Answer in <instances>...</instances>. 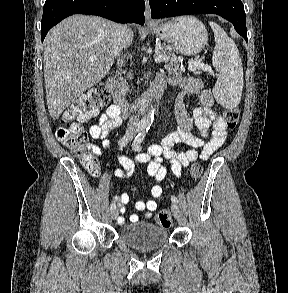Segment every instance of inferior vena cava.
I'll return each mask as SVG.
<instances>
[{
	"label": "inferior vena cava",
	"instance_id": "1",
	"mask_svg": "<svg viewBox=\"0 0 288 293\" xmlns=\"http://www.w3.org/2000/svg\"><path fill=\"white\" fill-rule=\"evenodd\" d=\"M127 31V26L126 25H117L116 30H115V57H118L117 59V65L122 67L124 62L123 59L120 58V53L123 50V43H124V37L125 33ZM128 79H132L131 74L127 75ZM138 121V117L133 115L130 117L128 125H127V130L126 133L128 135H133L135 132L136 124Z\"/></svg>",
	"mask_w": 288,
	"mask_h": 293
}]
</instances>
